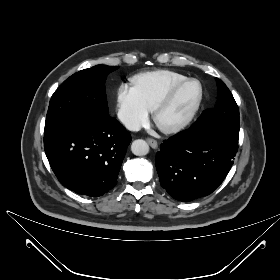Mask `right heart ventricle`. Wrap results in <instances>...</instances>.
Returning <instances> with one entry per match:
<instances>
[{
  "mask_svg": "<svg viewBox=\"0 0 280 280\" xmlns=\"http://www.w3.org/2000/svg\"><path fill=\"white\" fill-rule=\"evenodd\" d=\"M185 79L187 76L184 74L160 69L138 73L131 81L144 105L152 110L170 86Z\"/></svg>",
  "mask_w": 280,
  "mask_h": 280,
  "instance_id": "1",
  "label": "right heart ventricle"
}]
</instances>
